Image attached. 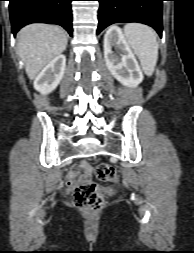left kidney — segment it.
Listing matches in <instances>:
<instances>
[{"label":"left kidney","instance_id":"obj_1","mask_svg":"<svg viewBox=\"0 0 194 253\" xmlns=\"http://www.w3.org/2000/svg\"><path fill=\"white\" fill-rule=\"evenodd\" d=\"M112 47L118 48L121 54H115ZM104 59L110 73L122 85L135 88L142 82L140 66L118 27L109 28L104 36Z\"/></svg>","mask_w":194,"mask_h":253}]
</instances>
